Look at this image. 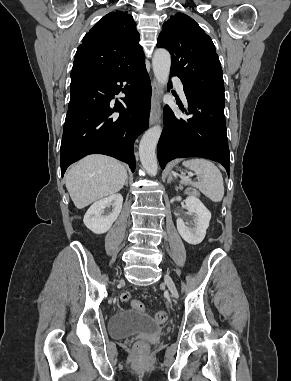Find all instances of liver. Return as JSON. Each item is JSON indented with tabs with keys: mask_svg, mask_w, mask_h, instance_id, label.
<instances>
[{
	"mask_svg": "<svg viewBox=\"0 0 291 381\" xmlns=\"http://www.w3.org/2000/svg\"><path fill=\"white\" fill-rule=\"evenodd\" d=\"M126 179V168L118 160L104 155H90L68 171L65 183L74 205L82 209L120 191Z\"/></svg>",
	"mask_w": 291,
	"mask_h": 381,
	"instance_id": "liver-1",
	"label": "liver"
}]
</instances>
